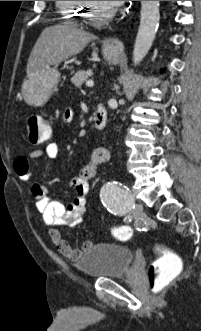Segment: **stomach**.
I'll use <instances>...</instances> for the list:
<instances>
[{
	"mask_svg": "<svg viewBox=\"0 0 201 331\" xmlns=\"http://www.w3.org/2000/svg\"><path fill=\"white\" fill-rule=\"evenodd\" d=\"M103 55L114 64L120 61V55L106 47L103 48ZM60 75L56 66H50L27 76L22 84V94L26 102L36 107L43 106L56 91Z\"/></svg>",
	"mask_w": 201,
	"mask_h": 331,
	"instance_id": "obj_1",
	"label": "stomach"
}]
</instances>
